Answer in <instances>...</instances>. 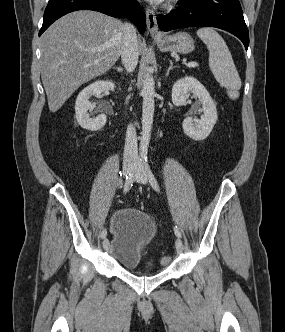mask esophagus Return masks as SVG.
<instances>
[{"label": "esophagus", "instance_id": "1", "mask_svg": "<svg viewBox=\"0 0 285 332\" xmlns=\"http://www.w3.org/2000/svg\"><path fill=\"white\" fill-rule=\"evenodd\" d=\"M146 20H147V30L152 37H159L161 34L159 32L157 18L155 12L149 7L146 8Z\"/></svg>", "mask_w": 285, "mask_h": 332}]
</instances>
